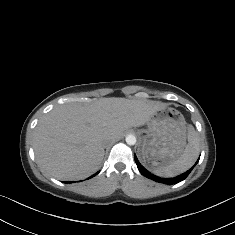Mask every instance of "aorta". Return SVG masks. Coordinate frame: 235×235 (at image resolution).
<instances>
[{"mask_svg":"<svg viewBox=\"0 0 235 235\" xmlns=\"http://www.w3.org/2000/svg\"><path fill=\"white\" fill-rule=\"evenodd\" d=\"M126 143H127L128 145H135V144H136V138H135V136H134V135H128V136L126 137Z\"/></svg>","mask_w":235,"mask_h":235,"instance_id":"762f6f07","label":"aorta"}]
</instances>
